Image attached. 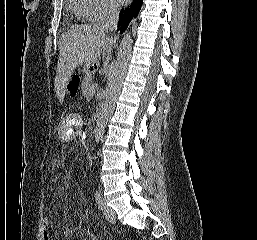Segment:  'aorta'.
I'll return each mask as SVG.
<instances>
[{
    "mask_svg": "<svg viewBox=\"0 0 257 240\" xmlns=\"http://www.w3.org/2000/svg\"><path fill=\"white\" fill-rule=\"evenodd\" d=\"M132 38L129 32H125L118 51L117 60L109 76L106 99L102 105V111L98 117L94 130L95 142L99 143L102 139L106 124L111 117L117 99L121 93L124 78L127 73L128 63L131 57Z\"/></svg>",
    "mask_w": 257,
    "mask_h": 240,
    "instance_id": "762f6f07",
    "label": "aorta"
}]
</instances>
